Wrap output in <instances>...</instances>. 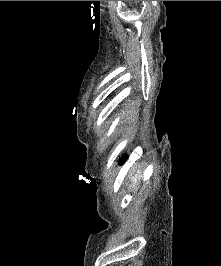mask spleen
Instances as JSON below:
<instances>
[{
  "mask_svg": "<svg viewBox=\"0 0 221 266\" xmlns=\"http://www.w3.org/2000/svg\"><path fill=\"white\" fill-rule=\"evenodd\" d=\"M141 178V173L138 172V174L135 175V177L132 178L133 187L138 185V181Z\"/></svg>",
  "mask_w": 221,
  "mask_h": 266,
  "instance_id": "spleen-1",
  "label": "spleen"
}]
</instances>
